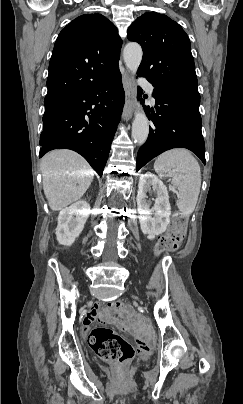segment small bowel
Segmentation results:
<instances>
[{
  "instance_id": "c3829d8e",
  "label": "small bowel",
  "mask_w": 243,
  "mask_h": 404,
  "mask_svg": "<svg viewBox=\"0 0 243 404\" xmlns=\"http://www.w3.org/2000/svg\"><path fill=\"white\" fill-rule=\"evenodd\" d=\"M98 309H99V306L95 305L93 310L91 312H89L84 317V319H83V331L85 333L88 332L90 325L100 318L99 313H98Z\"/></svg>"
}]
</instances>
